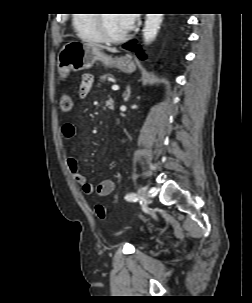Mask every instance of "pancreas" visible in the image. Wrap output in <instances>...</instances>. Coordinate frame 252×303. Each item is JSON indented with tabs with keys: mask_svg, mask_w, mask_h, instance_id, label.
I'll return each mask as SVG.
<instances>
[{
	"mask_svg": "<svg viewBox=\"0 0 252 303\" xmlns=\"http://www.w3.org/2000/svg\"><path fill=\"white\" fill-rule=\"evenodd\" d=\"M113 76L111 75V74H104V75H101L100 76V80L101 81H106V80H108V79H110V78H112Z\"/></svg>",
	"mask_w": 252,
	"mask_h": 303,
	"instance_id": "obj_1",
	"label": "pancreas"
}]
</instances>
